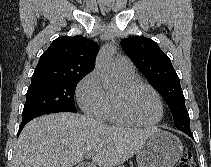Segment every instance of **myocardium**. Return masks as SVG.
Returning a JSON list of instances; mask_svg holds the SVG:
<instances>
[{
  "instance_id": "obj_1",
  "label": "myocardium",
  "mask_w": 211,
  "mask_h": 167,
  "mask_svg": "<svg viewBox=\"0 0 211 167\" xmlns=\"http://www.w3.org/2000/svg\"><path fill=\"white\" fill-rule=\"evenodd\" d=\"M139 88H146V89L150 90L154 94V96L156 97V100H157L158 105H159L160 113H159L158 118L155 121L150 122V123H143V122H140L137 119H135L126 109L125 104H124L123 96L114 95L113 100H114L115 109H116L118 115L123 120H125L126 122H128L131 125L139 126V127H145V128L154 127L161 122V120L163 119V116H164V106H163L161 96L153 86H151L148 83L139 81V80L125 82L123 84V91H124L125 94L130 93V92L137 90Z\"/></svg>"
}]
</instances>
